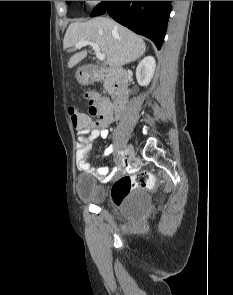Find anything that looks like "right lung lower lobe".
Wrapping results in <instances>:
<instances>
[{
    "instance_id": "right-lung-lower-lobe-1",
    "label": "right lung lower lobe",
    "mask_w": 233,
    "mask_h": 295,
    "mask_svg": "<svg viewBox=\"0 0 233 295\" xmlns=\"http://www.w3.org/2000/svg\"><path fill=\"white\" fill-rule=\"evenodd\" d=\"M106 11L113 19L137 34L151 39L161 48L171 11V1H103L92 11L99 16Z\"/></svg>"
}]
</instances>
